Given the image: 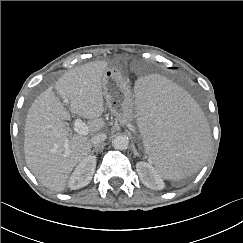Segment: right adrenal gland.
Listing matches in <instances>:
<instances>
[{
	"label": "right adrenal gland",
	"instance_id": "1",
	"mask_svg": "<svg viewBox=\"0 0 243 243\" xmlns=\"http://www.w3.org/2000/svg\"><path fill=\"white\" fill-rule=\"evenodd\" d=\"M98 151H99V149H98V146H97L93 150H91L90 154L92 155L94 152L97 153Z\"/></svg>",
	"mask_w": 243,
	"mask_h": 243
}]
</instances>
